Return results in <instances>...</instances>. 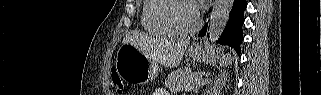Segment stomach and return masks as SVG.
Instances as JSON below:
<instances>
[{
	"label": "stomach",
	"mask_w": 321,
	"mask_h": 95,
	"mask_svg": "<svg viewBox=\"0 0 321 95\" xmlns=\"http://www.w3.org/2000/svg\"><path fill=\"white\" fill-rule=\"evenodd\" d=\"M188 54L193 60L201 61L204 50L201 46H191ZM115 69L119 76L127 82L145 84L158 75V64L148 55L132 44H123L116 57Z\"/></svg>",
	"instance_id": "stomach-1"
}]
</instances>
